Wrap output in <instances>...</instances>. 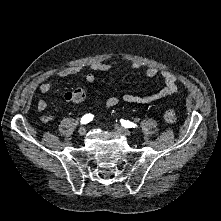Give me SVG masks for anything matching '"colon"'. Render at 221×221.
<instances>
[{
  "mask_svg": "<svg viewBox=\"0 0 221 221\" xmlns=\"http://www.w3.org/2000/svg\"><path fill=\"white\" fill-rule=\"evenodd\" d=\"M85 97V91L83 89H77L73 91L69 96L68 100L70 102H80ZM164 120L167 124H174L176 123L177 117L176 112L173 107H170L166 110L164 114Z\"/></svg>",
  "mask_w": 221,
  "mask_h": 221,
  "instance_id": "5ec220e1",
  "label": "colon"
}]
</instances>
